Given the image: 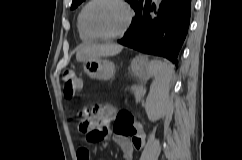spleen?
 I'll list each match as a JSON object with an SVG mask.
<instances>
[{
	"label": "spleen",
	"instance_id": "obj_1",
	"mask_svg": "<svg viewBox=\"0 0 242 160\" xmlns=\"http://www.w3.org/2000/svg\"><path fill=\"white\" fill-rule=\"evenodd\" d=\"M150 75L154 81L150 86V93L147 102L155 103L160 107H165L169 96V86L174 75L173 66L158 60L148 62Z\"/></svg>",
	"mask_w": 242,
	"mask_h": 160
}]
</instances>
